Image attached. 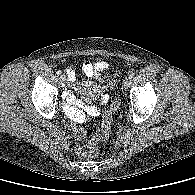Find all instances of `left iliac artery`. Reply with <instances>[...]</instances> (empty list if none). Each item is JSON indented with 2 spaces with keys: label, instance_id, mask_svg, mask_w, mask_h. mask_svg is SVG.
Here are the masks:
<instances>
[{
  "label": "left iliac artery",
  "instance_id": "44dca946",
  "mask_svg": "<svg viewBox=\"0 0 195 195\" xmlns=\"http://www.w3.org/2000/svg\"><path fill=\"white\" fill-rule=\"evenodd\" d=\"M133 76H134V74H130L129 77H128V79L129 80H132Z\"/></svg>",
  "mask_w": 195,
  "mask_h": 195
}]
</instances>
